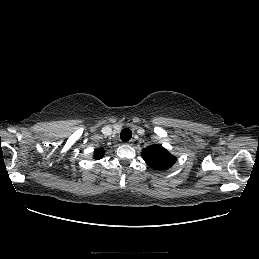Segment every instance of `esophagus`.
<instances>
[{"label": "esophagus", "instance_id": "34e87169", "mask_svg": "<svg viewBox=\"0 0 259 259\" xmlns=\"http://www.w3.org/2000/svg\"><path fill=\"white\" fill-rule=\"evenodd\" d=\"M133 140H129L126 144H128V145H133Z\"/></svg>", "mask_w": 259, "mask_h": 259}]
</instances>
